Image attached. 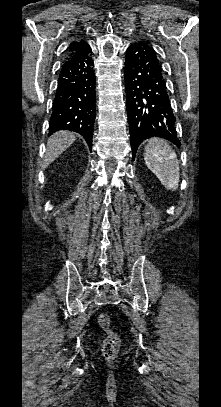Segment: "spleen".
Segmentation results:
<instances>
[{
	"label": "spleen",
	"instance_id": "3e777b00",
	"mask_svg": "<svg viewBox=\"0 0 221 407\" xmlns=\"http://www.w3.org/2000/svg\"><path fill=\"white\" fill-rule=\"evenodd\" d=\"M144 161L168 190H176L179 184L180 167L176 153L163 139H152L144 150Z\"/></svg>",
	"mask_w": 221,
	"mask_h": 407
}]
</instances>
